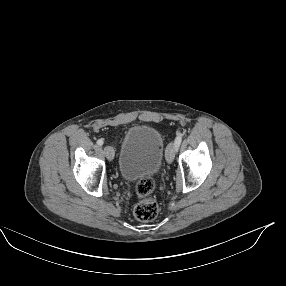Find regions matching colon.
<instances>
[{
  "instance_id": "obj_1",
  "label": "colon",
  "mask_w": 286,
  "mask_h": 286,
  "mask_svg": "<svg viewBox=\"0 0 286 286\" xmlns=\"http://www.w3.org/2000/svg\"><path fill=\"white\" fill-rule=\"evenodd\" d=\"M154 189V181L152 178H146L138 181L136 192L141 197L149 196ZM159 212L157 202L151 198H145L139 201L133 209L134 216L141 221L153 220Z\"/></svg>"
}]
</instances>
